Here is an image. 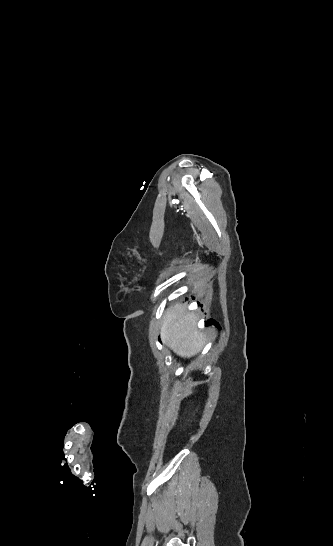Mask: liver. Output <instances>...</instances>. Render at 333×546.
Returning a JSON list of instances; mask_svg holds the SVG:
<instances>
[{
  "instance_id": "liver-1",
  "label": "liver",
  "mask_w": 333,
  "mask_h": 546,
  "mask_svg": "<svg viewBox=\"0 0 333 546\" xmlns=\"http://www.w3.org/2000/svg\"><path fill=\"white\" fill-rule=\"evenodd\" d=\"M186 308L185 303H177L166 309L160 336L178 356L190 358L201 351L205 336L196 327V314Z\"/></svg>"
}]
</instances>
